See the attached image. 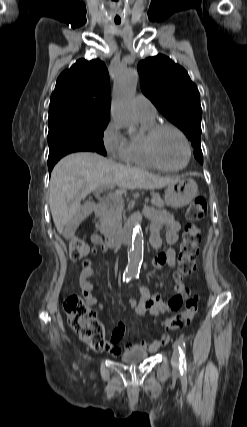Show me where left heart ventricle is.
<instances>
[{
	"mask_svg": "<svg viewBox=\"0 0 247 427\" xmlns=\"http://www.w3.org/2000/svg\"><path fill=\"white\" fill-rule=\"evenodd\" d=\"M155 150L160 162L168 167L177 168L186 160V149L181 137L173 130H163L155 142Z\"/></svg>",
	"mask_w": 247,
	"mask_h": 427,
	"instance_id": "obj_1",
	"label": "left heart ventricle"
}]
</instances>
